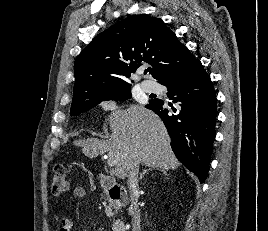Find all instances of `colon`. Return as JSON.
<instances>
[{
	"instance_id": "obj_1",
	"label": "colon",
	"mask_w": 268,
	"mask_h": 231,
	"mask_svg": "<svg viewBox=\"0 0 268 231\" xmlns=\"http://www.w3.org/2000/svg\"><path fill=\"white\" fill-rule=\"evenodd\" d=\"M69 190V181L66 175L65 168L62 165H57L54 168L51 191L55 196L63 195Z\"/></svg>"
}]
</instances>
